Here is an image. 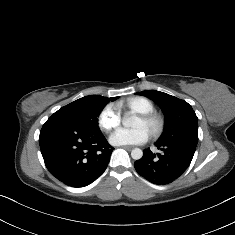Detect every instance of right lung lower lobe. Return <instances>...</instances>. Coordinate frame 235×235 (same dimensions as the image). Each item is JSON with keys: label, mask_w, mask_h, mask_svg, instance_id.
<instances>
[{"label": "right lung lower lobe", "mask_w": 235, "mask_h": 235, "mask_svg": "<svg viewBox=\"0 0 235 235\" xmlns=\"http://www.w3.org/2000/svg\"><path fill=\"white\" fill-rule=\"evenodd\" d=\"M39 144L49 172L72 187L95 181L107 168L114 150L100 130L51 117L40 131Z\"/></svg>", "instance_id": "obj_1"}]
</instances>
